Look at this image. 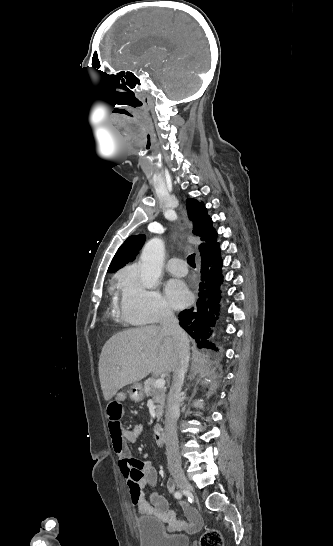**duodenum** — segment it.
Returning <instances> with one entry per match:
<instances>
[{"instance_id":"duodenum-1","label":"duodenum","mask_w":333,"mask_h":546,"mask_svg":"<svg viewBox=\"0 0 333 546\" xmlns=\"http://www.w3.org/2000/svg\"><path fill=\"white\" fill-rule=\"evenodd\" d=\"M153 439L158 446H162L164 443V432L163 427L158 425L154 427L153 430Z\"/></svg>"}]
</instances>
